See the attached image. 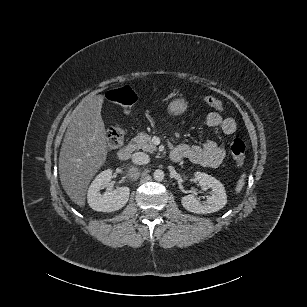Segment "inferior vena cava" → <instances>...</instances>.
Returning <instances> with one entry per match:
<instances>
[{"label": "inferior vena cava", "instance_id": "obj_1", "mask_svg": "<svg viewBox=\"0 0 307 307\" xmlns=\"http://www.w3.org/2000/svg\"><path fill=\"white\" fill-rule=\"evenodd\" d=\"M149 156L143 152H136L132 155V162L137 165L149 163Z\"/></svg>", "mask_w": 307, "mask_h": 307}]
</instances>
